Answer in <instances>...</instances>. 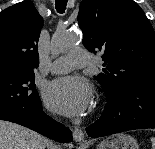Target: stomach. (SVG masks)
Returning a JSON list of instances; mask_svg holds the SVG:
<instances>
[{
    "mask_svg": "<svg viewBox=\"0 0 155 149\" xmlns=\"http://www.w3.org/2000/svg\"><path fill=\"white\" fill-rule=\"evenodd\" d=\"M97 149H139V146L132 136L118 133L106 137L98 144Z\"/></svg>",
    "mask_w": 155,
    "mask_h": 149,
    "instance_id": "obj_1",
    "label": "stomach"
}]
</instances>
